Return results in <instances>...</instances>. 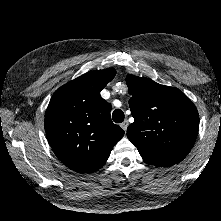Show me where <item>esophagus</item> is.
<instances>
[{
	"mask_svg": "<svg viewBox=\"0 0 221 221\" xmlns=\"http://www.w3.org/2000/svg\"><path fill=\"white\" fill-rule=\"evenodd\" d=\"M128 121L127 120H125L124 122H122L121 123V128L124 130V131H126L127 130V127H128Z\"/></svg>",
	"mask_w": 221,
	"mask_h": 221,
	"instance_id": "1",
	"label": "esophagus"
}]
</instances>
